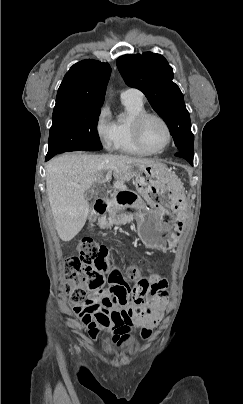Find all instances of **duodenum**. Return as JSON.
Wrapping results in <instances>:
<instances>
[{"instance_id": "1", "label": "duodenum", "mask_w": 243, "mask_h": 404, "mask_svg": "<svg viewBox=\"0 0 243 404\" xmlns=\"http://www.w3.org/2000/svg\"><path fill=\"white\" fill-rule=\"evenodd\" d=\"M136 199V195L124 189L116 191L109 199L100 198L94 203V213L96 216L103 214L107 209H122L130 206Z\"/></svg>"}]
</instances>
